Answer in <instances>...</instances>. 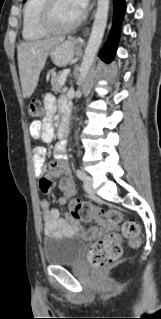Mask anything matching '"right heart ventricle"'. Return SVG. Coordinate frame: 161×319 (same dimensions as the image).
Instances as JSON below:
<instances>
[{"instance_id": "right-heart-ventricle-1", "label": "right heart ventricle", "mask_w": 161, "mask_h": 319, "mask_svg": "<svg viewBox=\"0 0 161 319\" xmlns=\"http://www.w3.org/2000/svg\"><path fill=\"white\" fill-rule=\"evenodd\" d=\"M43 0H27L23 10L22 37L27 41L44 38L47 33L38 25Z\"/></svg>"}]
</instances>
